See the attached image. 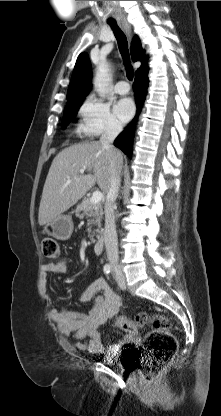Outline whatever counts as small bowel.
Segmentation results:
<instances>
[{"instance_id":"obj_1","label":"small bowel","mask_w":221,"mask_h":416,"mask_svg":"<svg viewBox=\"0 0 221 416\" xmlns=\"http://www.w3.org/2000/svg\"><path fill=\"white\" fill-rule=\"evenodd\" d=\"M71 263L72 259L68 257H62L57 262H46L42 264L39 276L45 281L49 274H65ZM91 301L92 306L87 313L61 307L52 309L50 317L63 335L76 339L78 349L91 354H113L121 345L131 343L133 339L128 335L120 343L108 348L102 343L98 328L116 316L122 306L121 297L110 288L105 279H95L82 292L80 302L86 304ZM86 338L87 341H84Z\"/></svg>"}]
</instances>
